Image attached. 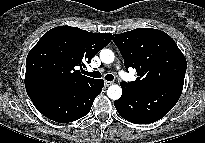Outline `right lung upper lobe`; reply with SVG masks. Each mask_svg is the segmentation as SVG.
<instances>
[{
  "label": "right lung upper lobe",
  "instance_id": "obj_1",
  "mask_svg": "<svg viewBox=\"0 0 205 143\" xmlns=\"http://www.w3.org/2000/svg\"><path fill=\"white\" fill-rule=\"evenodd\" d=\"M112 39L111 33H92L59 26L46 32L28 53L26 85L77 86L92 81L77 67H85Z\"/></svg>",
  "mask_w": 205,
  "mask_h": 143
}]
</instances>
